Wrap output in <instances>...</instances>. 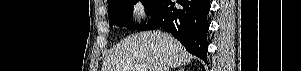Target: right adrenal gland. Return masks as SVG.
<instances>
[{
  "label": "right adrenal gland",
  "instance_id": "right-adrenal-gland-1",
  "mask_svg": "<svg viewBox=\"0 0 301 71\" xmlns=\"http://www.w3.org/2000/svg\"><path fill=\"white\" fill-rule=\"evenodd\" d=\"M176 71H184V68L181 67V66H178V67L176 68Z\"/></svg>",
  "mask_w": 301,
  "mask_h": 71
}]
</instances>
